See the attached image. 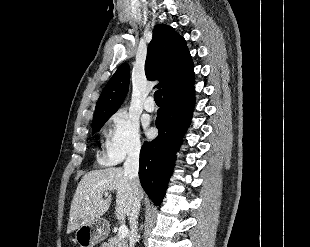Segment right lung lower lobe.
Instances as JSON below:
<instances>
[{
	"mask_svg": "<svg viewBox=\"0 0 310 247\" xmlns=\"http://www.w3.org/2000/svg\"><path fill=\"white\" fill-rule=\"evenodd\" d=\"M193 84L163 96L156 119L159 134L152 142H145L141 149L140 182L156 205H160L163 200L172 174L175 153L190 124L195 104Z\"/></svg>",
	"mask_w": 310,
	"mask_h": 247,
	"instance_id": "1",
	"label": "right lung lower lobe"
}]
</instances>
